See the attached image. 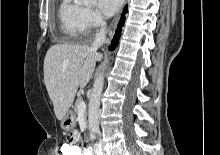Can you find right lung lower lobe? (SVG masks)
<instances>
[{
  "label": "right lung lower lobe",
  "mask_w": 220,
  "mask_h": 155,
  "mask_svg": "<svg viewBox=\"0 0 220 155\" xmlns=\"http://www.w3.org/2000/svg\"><path fill=\"white\" fill-rule=\"evenodd\" d=\"M126 12H127V6L124 8L123 14L121 16V19H120V22H119V25H118V28L116 30V33L113 37V40H112L110 46H109L110 50H114L116 48V45L118 44V40H119V37H120V34H121V28H122L124 20H125Z\"/></svg>",
  "instance_id": "obj_1"
}]
</instances>
